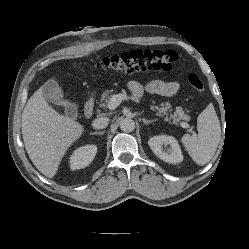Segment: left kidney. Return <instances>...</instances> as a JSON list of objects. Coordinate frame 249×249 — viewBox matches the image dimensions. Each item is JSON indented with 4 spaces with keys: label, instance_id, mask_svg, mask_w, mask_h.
Wrapping results in <instances>:
<instances>
[{
    "label": "left kidney",
    "instance_id": "1",
    "mask_svg": "<svg viewBox=\"0 0 249 249\" xmlns=\"http://www.w3.org/2000/svg\"><path fill=\"white\" fill-rule=\"evenodd\" d=\"M148 144L154 154L167 163L178 164L183 160L180 145L173 136H154L149 139ZM168 145L169 148L167 150L163 149L164 146Z\"/></svg>",
    "mask_w": 249,
    "mask_h": 249
}]
</instances>
